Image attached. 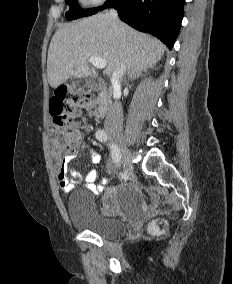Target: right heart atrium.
Returning a JSON list of instances; mask_svg holds the SVG:
<instances>
[{
  "mask_svg": "<svg viewBox=\"0 0 233 284\" xmlns=\"http://www.w3.org/2000/svg\"><path fill=\"white\" fill-rule=\"evenodd\" d=\"M83 1L90 6H97L103 3L105 0H83Z\"/></svg>",
  "mask_w": 233,
  "mask_h": 284,
  "instance_id": "right-heart-atrium-1",
  "label": "right heart atrium"
}]
</instances>
